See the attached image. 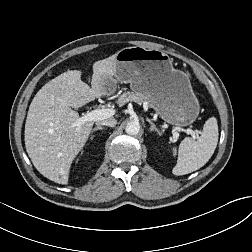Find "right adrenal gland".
I'll list each match as a JSON object with an SVG mask.
<instances>
[{"instance_id": "2a0ac1e0", "label": "right adrenal gland", "mask_w": 252, "mask_h": 252, "mask_svg": "<svg viewBox=\"0 0 252 252\" xmlns=\"http://www.w3.org/2000/svg\"><path fill=\"white\" fill-rule=\"evenodd\" d=\"M97 130H105V128H104V127H101V126L96 127V128H94V129L92 130V133L95 132V131H97Z\"/></svg>"}]
</instances>
